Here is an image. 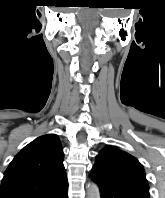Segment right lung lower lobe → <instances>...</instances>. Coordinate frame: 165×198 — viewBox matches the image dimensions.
Returning a JSON list of instances; mask_svg holds the SVG:
<instances>
[{
  "label": "right lung lower lobe",
  "instance_id": "obj_1",
  "mask_svg": "<svg viewBox=\"0 0 165 198\" xmlns=\"http://www.w3.org/2000/svg\"><path fill=\"white\" fill-rule=\"evenodd\" d=\"M58 198H68L67 190L63 192L60 196H58Z\"/></svg>",
  "mask_w": 165,
  "mask_h": 198
}]
</instances>
